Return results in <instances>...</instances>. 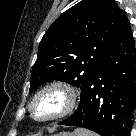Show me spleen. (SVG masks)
<instances>
[{
  "label": "spleen",
  "mask_w": 136,
  "mask_h": 136,
  "mask_svg": "<svg viewBox=\"0 0 136 136\" xmlns=\"http://www.w3.org/2000/svg\"><path fill=\"white\" fill-rule=\"evenodd\" d=\"M75 136H97V135L93 134L90 131L84 130V129H76Z\"/></svg>",
  "instance_id": "3e777b00"
}]
</instances>
